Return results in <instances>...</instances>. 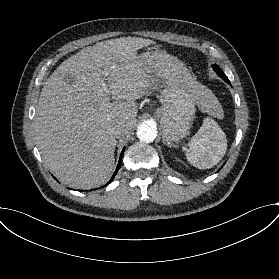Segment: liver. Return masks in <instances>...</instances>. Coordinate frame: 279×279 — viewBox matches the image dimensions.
<instances>
[{
    "instance_id": "6515ba94",
    "label": "liver",
    "mask_w": 279,
    "mask_h": 279,
    "mask_svg": "<svg viewBox=\"0 0 279 279\" xmlns=\"http://www.w3.org/2000/svg\"><path fill=\"white\" fill-rule=\"evenodd\" d=\"M155 44L138 37L98 42L65 60L48 78L38 100L35 136L61 182L89 189L108 181L117 145L113 129L125 123L127 135L136 123V100L169 87L166 76L139 54ZM66 73L76 76L74 84L65 82ZM185 82L197 103L203 86L190 74Z\"/></svg>"
}]
</instances>
